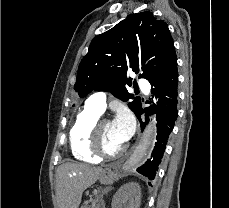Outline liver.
Returning a JSON list of instances; mask_svg holds the SVG:
<instances>
[{
	"label": "liver",
	"instance_id": "liver-1",
	"mask_svg": "<svg viewBox=\"0 0 229 208\" xmlns=\"http://www.w3.org/2000/svg\"><path fill=\"white\" fill-rule=\"evenodd\" d=\"M103 168H91L87 164L66 162L56 172V196L58 208H78L86 188L97 182Z\"/></svg>",
	"mask_w": 229,
	"mask_h": 208
}]
</instances>
